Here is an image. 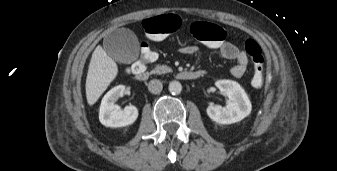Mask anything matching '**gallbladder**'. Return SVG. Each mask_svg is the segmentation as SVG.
<instances>
[{
  "mask_svg": "<svg viewBox=\"0 0 337 171\" xmlns=\"http://www.w3.org/2000/svg\"><path fill=\"white\" fill-rule=\"evenodd\" d=\"M105 51L117 62L130 63L139 54V43L134 33L120 28L104 38Z\"/></svg>",
  "mask_w": 337,
  "mask_h": 171,
  "instance_id": "obj_1",
  "label": "gallbladder"
}]
</instances>
